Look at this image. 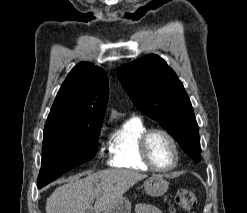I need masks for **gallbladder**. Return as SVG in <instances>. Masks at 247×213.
<instances>
[{"mask_svg": "<svg viewBox=\"0 0 247 213\" xmlns=\"http://www.w3.org/2000/svg\"><path fill=\"white\" fill-rule=\"evenodd\" d=\"M85 213H93L92 210L88 209L85 211Z\"/></svg>", "mask_w": 247, "mask_h": 213, "instance_id": "obj_1", "label": "gallbladder"}]
</instances>
